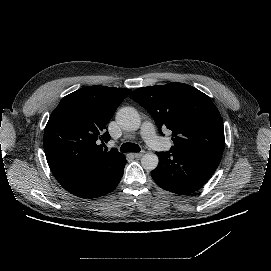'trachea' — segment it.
I'll return each mask as SVG.
<instances>
[{
	"mask_svg": "<svg viewBox=\"0 0 271 271\" xmlns=\"http://www.w3.org/2000/svg\"><path fill=\"white\" fill-rule=\"evenodd\" d=\"M122 152H139L140 147L137 144L134 143H124L121 147Z\"/></svg>",
	"mask_w": 271,
	"mask_h": 271,
	"instance_id": "obj_1",
	"label": "trachea"
}]
</instances>
